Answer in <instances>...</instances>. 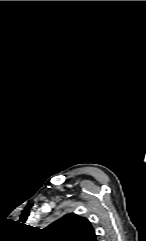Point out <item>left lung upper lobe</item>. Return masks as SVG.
Here are the masks:
<instances>
[{
  "mask_svg": "<svg viewBox=\"0 0 146 241\" xmlns=\"http://www.w3.org/2000/svg\"><path fill=\"white\" fill-rule=\"evenodd\" d=\"M48 241H93L96 237L89 220L76 214H66L44 230Z\"/></svg>",
  "mask_w": 146,
  "mask_h": 241,
  "instance_id": "left-lung-upper-lobe-1",
  "label": "left lung upper lobe"
}]
</instances>
